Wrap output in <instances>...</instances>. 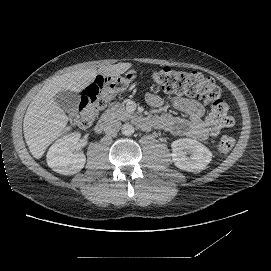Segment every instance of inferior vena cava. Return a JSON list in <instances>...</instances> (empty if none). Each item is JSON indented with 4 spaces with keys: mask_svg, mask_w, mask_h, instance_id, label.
<instances>
[{
    "mask_svg": "<svg viewBox=\"0 0 271 271\" xmlns=\"http://www.w3.org/2000/svg\"><path fill=\"white\" fill-rule=\"evenodd\" d=\"M121 128V122L117 119H108L104 124V132L107 135H116Z\"/></svg>",
    "mask_w": 271,
    "mask_h": 271,
    "instance_id": "inferior-vena-cava-1",
    "label": "inferior vena cava"
}]
</instances>
